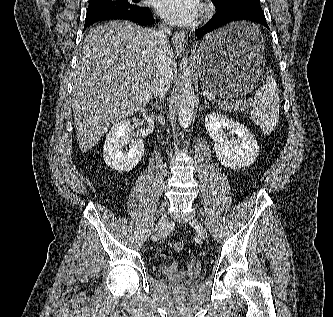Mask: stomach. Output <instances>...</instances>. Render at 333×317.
Instances as JSON below:
<instances>
[{"mask_svg": "<svg viewBox=\"0 0 333 317\" xmlns=\"http://www.w3.org/2000/svg\"><path fill=\"white\" fill-rule=\"evenodd\" d=\"M263 54L257 24L234 22L208 33L197 52L202 89L225 99L253 95L260 82H270Z\"/></svg>", "mask_w": 333, "mask_h": 317, "instance_id": "1", "label": "stomach"}]
</instances>
